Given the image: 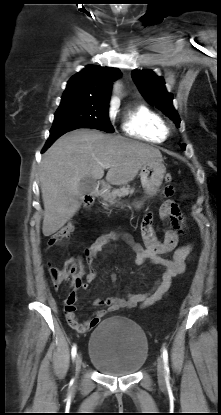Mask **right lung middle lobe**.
I'll return each instance as SVG.
<instances>
[{
  "mask_svg": "<svg viewBox=\"0 0 221 415\" xmlns=\"http://www.w3.org/2000/svg\"><path fill=\"white\" fill-rule=\"evenodd\" d=\"M108 103L87 98H63L54 117L50 134L66 133L78 128L114 131L108 117Z\"/></svg>",
  "mask_w": 221,
  "mask_h": 415,
  "instance_id": "right-lung-middle-lobe-1",
  "label": "right lung middle lobe"
}]
</instances>
